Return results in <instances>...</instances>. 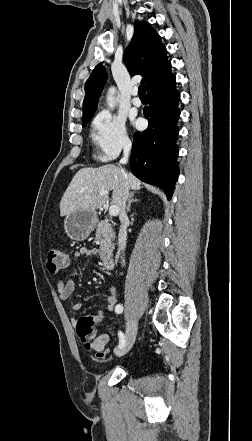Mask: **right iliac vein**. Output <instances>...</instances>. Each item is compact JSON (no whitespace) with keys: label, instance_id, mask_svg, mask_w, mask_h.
Returning a JSON list of instances; mask_svg holds the SVG:
<instances>
[{"label":"right iliac vein","instance_id":"63e3f726","mask_svg":"<svg viewBox=\"0 0 252 441\" xmlns=\"http://www.w3.org/2000/svg\"><path fill=\"white\" fill-rule=\"evenodd\" d=\"M137 333V321L133 320L128 322L126 336H125V344L122 348H120L117 352V356L125 355L133 346Z\"/></svg>","mask_w":252,"mask_h":441}]
</instances>
